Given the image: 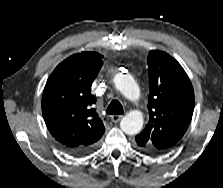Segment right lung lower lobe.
Listing matches in <instances>:
<instances>
[{"instance_id":"obj_1","label":"right lung lower lobe","mask_w":223,"mask_h":188,"mask_svg":"<svg viewBox=\"0 0 223 188\" xmlns=\"http://www.w3.org/2000/svg\"><path fill=\"white\" fill-rule=\"evenodd\" d=\"M95 147H96V145L88 147V148H66V147L62 146V148L66 152H68L69 154L74 155V156H84V155H87L90 152H92V150H94Z\"/></svg>"}]
</instances>
